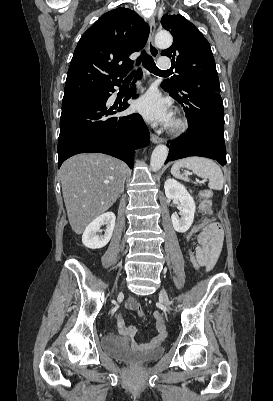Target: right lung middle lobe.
Listing matches in <instances>:
<instances>
[{
  "label": "right lung middle lobe",
  "mask_w": 273,
  "mask_h": 401,
  "mask_svg": "<svg viewBox=\"0 0 273 401\" xmlns=\"http://www.w3.org/2000/svg\"><path fill=\"white\" fill-rule=\"evenodd\" d=\"M96 95H97V92L83 94V95H77V96L63 97L62 107L66 106V105H69V104H71L73 102H76L78 100L85 99V98H88V97H91V96H96Z\"/></svg>",
  "instance_id": "1"
}]
</instances>
